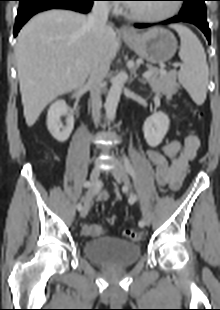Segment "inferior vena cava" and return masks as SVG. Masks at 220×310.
Returning <instances> with one entry per match:
<instances>
[{
    "label": "inferior vena cava",
    "instance_id": "obj_1",
    "mask_svg": "<svg viewBox=\"0 0 220 310\" xmlns=\"http://www.w3.org/2000/svg\"><path fill=\"white\" fill-rule=\"evenodd\" d=\"M110 7L105 1H95L87 23L94 35L88 85L91 91V109L94 122L100 121L101 87L110 68L106 50L107 21Z\"/></svg>",
    "mask_w": 220,
    "mask_h": 310
}]
</instances>
